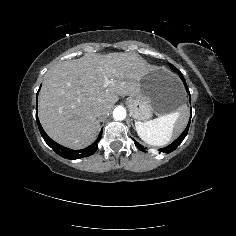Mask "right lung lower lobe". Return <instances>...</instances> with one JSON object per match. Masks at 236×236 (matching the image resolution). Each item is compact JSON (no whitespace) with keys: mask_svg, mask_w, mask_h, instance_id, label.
Instances as JSON below:
<instances>
[{"mask_svg":"<svg viewBox=\"0 0 236 236\" xmlns=\"http://www.w3.org/2000/svg\"><path fill=\"white\" fill-rule=\"evenodd\" d=\"M36 119H37V124L40 130V133L43 137V139L45 140V142L61 157L66 158V159H79V158H84V157H88L90 155H92L98 148V141L101 139L102 137V130L99 133L98 138L96 139V141L91 144L90 146L81 149V150H72L69 148H66L58 143H56L55 141H53L43 130L38 117H37V113H36Z\"/></svg>","mask_w":236,"mask_h":236,"instance_id":"1","label":"right lung lower lobe"}]
</instances>
